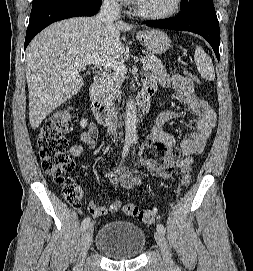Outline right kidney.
Masks as SVG:
<instances>
[{
    "label": "right kidney",
    "instance_id": "right-kidney-1",
    "mask_svg": "<svg viewBox=\"0 0 253 271\" xmlns=\"http://www.w3.org/2000/svg\"><path fill=\"white\" fill-rule=\"evenodd\" d=\"M80 126L82 128H85L87 126V119H82L81 122H80Z\"/></svg>",
    "mask_w": 253,
    "mask_h": 271
}]
</instances>
